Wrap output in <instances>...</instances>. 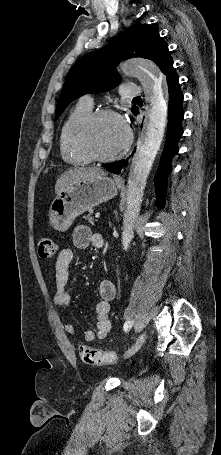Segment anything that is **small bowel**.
I'll list each match as a JSON object with an SVG mask.
<instances>
[{"mask_svg": "<svg viewBox=\"0 0 221 455\" xmlns=\"http://www.w3.org/2000/svg\"><path fill=\"white\" fill-rule=\"evenodd\" d=\"M100 234L93 233L88 227H77L73 233V243L77 249L86 248L88 245L97 247V243L102 240ZM74 261V250L71 247L62 248L55 263V293L53 302L55 306L62 307L71 303V295L66 290L70 277L71 267ZM99 301L95 305L96 330H87L84 333V340L92 342L103 340L112 332V323L109 318L110 302L116 295V288L112 281L101 280L98 284ZM64 330L69 335H75V327L71 323L64 324Z\"/></svg>", "mask_w": 221, "mask_h": 455, "instance_id": "1", "label": "small bowel"}]
</instances>
